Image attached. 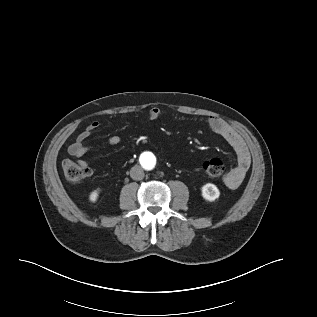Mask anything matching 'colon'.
Segmentation results:
<instances>
[{
    "mask_svg": "<svg viewBox=\"0 0 317 317\" xmlns=\"http://www.w3.org/2000/svg\"><path fill=\"white\" fill-rule=\"evenodd\" d=\"M63 172L66 179L72 183H78L89 177L91 170L87 165L65 160ZM204 173L211 179L218 178L225 172V164L219 158L207 160L202 165Z\"/></svg>",
    "mask_w": 317,
    "mask_h": 317,
    "instance_id": "1",
    "label": "colon"
}]
</instances>
